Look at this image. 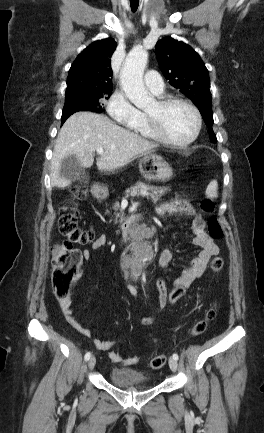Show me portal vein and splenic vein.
<instances>
[{
  "mask_svg": "<svg viewBox=\"0 0 264 433\" xmlns=\"http://www.w3.org/2000/svg\"><path fill=\"white\" fill-rule=\"evenodd\" d=\"M96 152H97L99 155L104 154V150H103L102 148H97V149H96ZM142 194H147V193H146V192H142Z\"/></svg>",
  "mask_w": 264,
  "mask_h": 433,
  "instance_id": "1",
  "label": "portal vein and splenic vein"
}]
</instances>
